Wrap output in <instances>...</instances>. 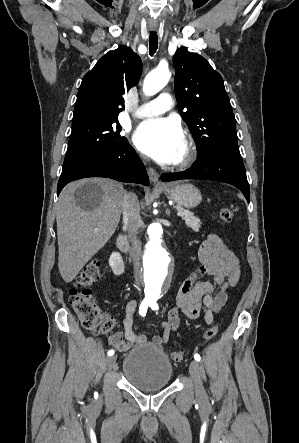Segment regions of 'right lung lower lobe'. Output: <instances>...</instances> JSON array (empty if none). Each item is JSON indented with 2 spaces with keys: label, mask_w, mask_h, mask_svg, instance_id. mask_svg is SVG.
<instances>
[{
  "label": "right lung lower lobe",
  "mask_w": 299,
  "mask_h": 443,
  "mask_svg": "<svg viewBox=\"0 0 299 443\" xmlns=\"http://www.w3.org/2000/svg\"><path fill=\"white\" fill-rule=\"evenodd\" d=\"M87 177H108L121 182L149 185L146 169L129 143L119 151L96 156L62 173L57 195L67 183Z\"/></svg>",
  "instance_id": "98d812e1"
}]
</instances>
